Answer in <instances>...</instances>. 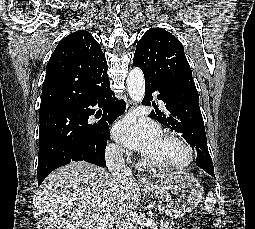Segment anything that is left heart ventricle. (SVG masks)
I'll use <instances>...</instances> for the list:
<instances>
[{"label":"left heart ventricle","mask_w":255,"mask_h":229,"mask_svg":"<svg viewBox=\"0 0 255 229\" xmlns=\"http://www.w3.org/2000/svg\"><path fill=\"white\" fill-rule=\"evenodd\" d=\"M147 157L156 161L179 163L185 159L186 152L179 144L162 137L156 148Z\"/></svg>","instance_id":"b2bd125f"}]
</instances>
